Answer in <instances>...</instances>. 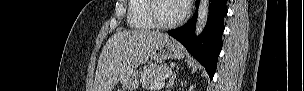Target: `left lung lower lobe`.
I'll return each mask as SVG.
<instances>
[{
  "mask_svg": "<svg viewBox=\"0 0 304 91\" xmlns=\"http://www.w3.org/2000/svg\"><path fill=\"white\" fill-rule=\"evenodd\" d=\"M196 1L198 8L199 0ZM226 3L227 0H210L207 25L196 39L194 31L198 15L197 8L192 19L184 26L168 31L169 35L181 42L205 67L210 79H213L222 49V34L225 28L223 20L228 12Z\"/></svg>",
  "mask_w": 304,
  "mask_h": 91,
  "instance_id": "1",
  "label": "left lung lower lobe"
}]
</instances>
